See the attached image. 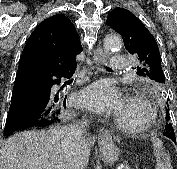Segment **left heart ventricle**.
<instances>
[{
    "mask_svg": "<svg viewBox=\"0 0 177 169\" xmlns=\"http://www.w3.org/2000/svg\"><path fill=\"white\" fill-rule=\"evenodd\" d=\"M118 115H120L123 121L130 123H138L144 118V113L139 107L127 103L123 105Z\"/></svg>",
    "mask_w": 177,
    "mask_h": 169,
    "instance_id": "left-heart-ventricle-1",
    "label": "left heart ventricle"
}]
</instances>
